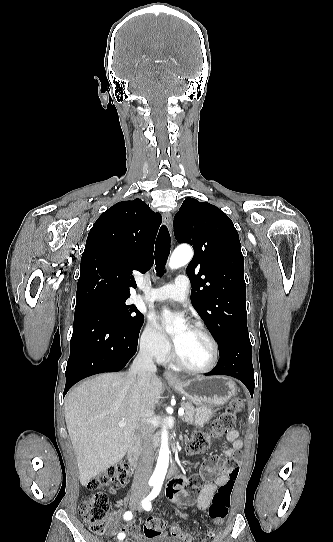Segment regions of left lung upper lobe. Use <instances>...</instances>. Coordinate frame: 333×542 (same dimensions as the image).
Segmentation results:
<instances>
[{
    "mask_svg": "<svg viewBox=\"0 0 333 542\" xmlns=\"http://www.w3.org/2000/svg\"><path fill=\"white\" fill-rule=\"evenodd\" d=\"M174 234L194 257L186 272L191 302L214 334L219 351L235 333L248 332L244 257L231 219L218 207L188 197L174 217Z\"/></svg>",
    "mask_w": 333,
    "mask_h": 542,
    "instance_id": "left-lung-upper-lobe-1",
    "label": "left lung upper lobe"
}]
</instances>
